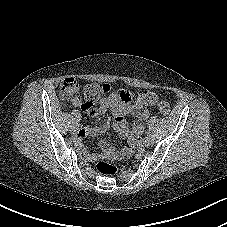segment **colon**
<instances>
[{
    "mask_svg": "<svg viewBox=\"0 0 227 227\" xmlns=\"http://www.w3.org/2000/svg\"><path fill=\"white\" fill-rule=\"evenodd\" d=\"M107 84L88 83L80 84L74 78H65L60 85V96L63 100H74L80 97L82 92L87 100L99 98L108 91ZM131 98V96H129ZM137 99L145 105H154L158 102V96L152 91H140ZM158 109L160 113L167 116L170 113V105L166 101L158 102ZM96 169L99 173L107 176H114L117 173V168L112 164L100 161L96 164Z\"/></svg>",
    "mask_w": 227,
    "mask_h": 227,
    "instance_id": "1",
    "label": "colon"
}]
</instances>
